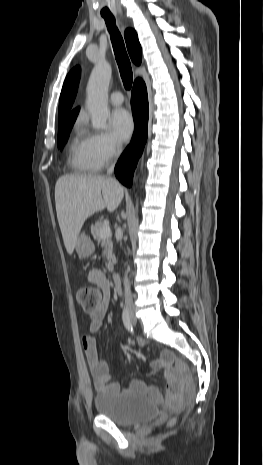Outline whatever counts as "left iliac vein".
<instances>
[{
    "label": "left iliac vein",
    "mask_w": 263,
    "mask_h": 465,
    "mask_svg": "<svg viewBox=\"0 0 263 465\" xmlns=\"http://www.w3.org/2000/svg\"><path fill=\"white\" fill-rule=\"evenodd\" d=\"M132 321L133 323H136V318L134 317V315H132Z\"/></svg>",
    "instance_id": "left-iliac-vein-1"
}]
</instances>
